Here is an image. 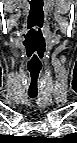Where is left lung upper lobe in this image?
Listing matches in <instances>:
<instances>
[{
  "label": "left lung upper lobe",
  "mask_w": 77,
  "mask_h": 143,
  "mask_svg": "<svg viewBox=\"0 0 77 143\" xmlns=\"http://www.w3.org/2000/svg\"><path fill=\"white\" fill-rule=\"evenodd\" d=\"M74 138V135L73 134H69L65 137V139H73Z\"/></svg>",
  "instance_id": "obj_1"
}]
</instances>
